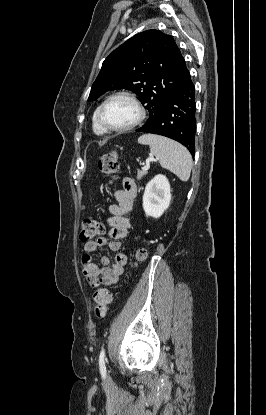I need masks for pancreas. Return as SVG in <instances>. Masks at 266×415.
Returning a JSON list of instances; mask_svg holds the SVG:
<instances>
[{
  "instance_id": "1",
  "label": "pancreas",
  "mask_w": 266,
  "mask_h": 415,
  "mask_svg": "<svg viewBox=\"0 0 266 415\" xmlns=\"http://www.w3.org/2000/svg\"><path fill=\"white\" fill-rule=\"evenodd\" d=\"M147 174V171H139L137 174V179H142Z\"/></svg>"
}]
</instances>
